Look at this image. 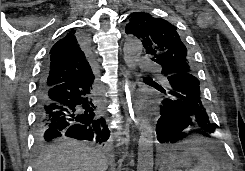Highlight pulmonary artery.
Segmentation results:
<instances>
[{"instance_id": "e3ab8cb5", "label": "pulmonary artery", "mask_w": 245, "mask_h": 171, "mask_svg": "<svg viewBox=\"0 0 245 171\" xmlns=\"http://www.w3.org/2000/svg\"><path fill=\"white\" fill-rule=\"evenodd\" d=\"M138 61L140 69H148L155 66V64L149 58L146 57H140Z\"/></svg>"}]
</instances>
